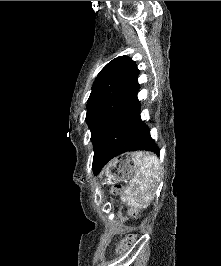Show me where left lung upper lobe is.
Listing matches in <instances>:
<instances>
[{
	"label": "left lung upper lobe",
	"mask_w": 221,
	"mask_h": 266,
	"mask_svg": "<svg viewBox=\"0 0 221 266\" xmlns=\"http://www.w3.org/2000/svg\"><path fill=\"white\" fill-rule=\"evenodd\" d=\"M138 74L135 62L120 56L110 61L96 77L86 113L94 153L117 111L139 89Z\"/></svg>",
	"instance_id": "obj_1"
}]
</instances>
